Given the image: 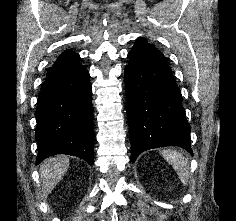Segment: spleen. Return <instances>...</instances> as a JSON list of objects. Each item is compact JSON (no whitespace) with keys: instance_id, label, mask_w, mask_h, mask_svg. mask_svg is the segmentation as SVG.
<instances>
[{"instance_id":"3e777b00","label":"spleen","mask_w":236,"mask_h":221,"mask_svg":"<svg viewBox=\"0 0 236 221\" xmlns=\"http://www.w3.org/2000/svg\"><path fill=\"white\" fill-rule=\"evenodd\" d=\"M161 154L172 165L181 182L187 185L189 181L188 160L176 150L166 149Z\"/></svg>"}]
</instances>
